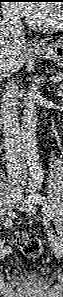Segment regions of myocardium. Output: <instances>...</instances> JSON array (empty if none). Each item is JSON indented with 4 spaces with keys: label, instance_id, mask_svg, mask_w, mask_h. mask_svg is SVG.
Instances as JSON below:
<instances>
[{
    "label": "myocardium",
    "instance_id": "1",
    "mask_svg": "<svg viewBox=\"0 0 63 297\" xmlns=\"http://www.w3.org/2000/svg\"><path fill=\"white\" fill-rule=\"evenodd\" d=\"M57 7L59 10V17L56 22L50 23V24L40 23V24H37L36 26L48 32H53L60 29L62 26V20H63V10H62V6L59 5Z\"/></svg>",
    "mask_w": 63,
    "mask_h": 297
}]
</instances>
